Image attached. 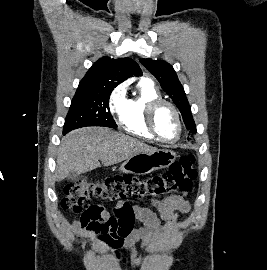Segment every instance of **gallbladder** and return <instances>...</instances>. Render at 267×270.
Segmentation results:
<instances>
[{"mask_svg":"<svg viewBox=\"0 0 267 270\" xmlns=\"http://www.w3.org/2000/svg\"><path fill=\"white\" fill-rule=\"evenodd\" d=\"M80 177V174L77 172H70L67 176V180L70 181H78Z\"/></svg>","mask_w":267,"mask_h":270,"instance_id":"gallbladder-1","label":"gallbladder"}]
</instances>
